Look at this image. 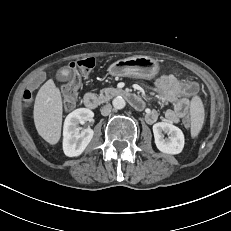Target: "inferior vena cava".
I'll list each match as a JSON object with an SVG mask.
<instances>
[{"label":"inferior vena cava","instance_id":"obj_1","mask_svg":"<svg viewBox=\"0 0 231 231\" xmlns=\"http://www.w3.org/2000/svg\"><path fill=\"white\" fill-rule=\"evenodd\" d=\"M111 109H112V106L110 104H107V105L102 107L101 114L103 116H108L111 112Z\"/></svg>","mask_w":231,"mask_h":231}]
</instances>
